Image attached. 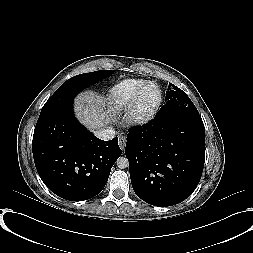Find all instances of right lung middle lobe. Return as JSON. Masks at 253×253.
Listing matches in <instances>:
<instances>
[{
  "instance_id": "right-lung-middle-lobe-1",
  "label": "right lung middle lobe",
  "mask_w": 253,
  "mask_h": 253,
  "mask_svg": "<svg viewBox=\"0 0 253 253\" xmlns=\"http://www.w3.org/2000/svg\"><path fill=\"white\" fill-rule=\"evenodd\" d=\"M113 73L112 70H100L74 76L63 83L47 100L41 114L53 111L73 102L74 97L87 86L94 84Z\"/></svg>"
}]
</instances>
